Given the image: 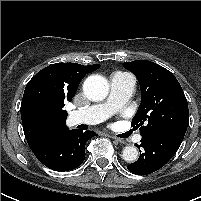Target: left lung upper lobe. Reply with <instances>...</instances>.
I'll use <instances>...</instances> for the list:
<instances>
[{
  "mask_svg": "<svg viewBox=\"0 0 201 201\" xmlns=\"http://www.w3.org/2000/svg\"><path fill=\"white\" fill-rule=\"evenodd\" d=\"M123 66L134 73L141 88V103L132 120L142 137L158 132L185 133L189 109L176 77L162 66L147 60L125 62Z\"/></svg>",
  "mask_w": 201,
  "mask_h": 201,
  "instance_id": "5c2ea615",
  "label": "left lung upper lobe"
}]
</instances>
